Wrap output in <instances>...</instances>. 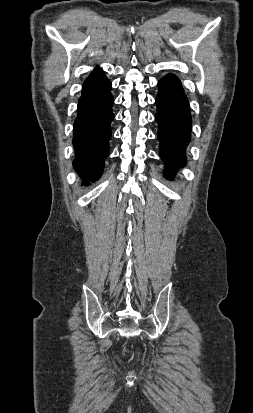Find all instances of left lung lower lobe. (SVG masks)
Listing matches in <instances>:
<instances>
[{
	"label": "left lung lower lobe",
	"mask_w": 253,
	"mask_h": 413,
	"mask_svg": "<svg viewBox=\"0 0 253 413\" xmlns=\"http://www.w3.org/2000/svg\"><path fill=\"white\" fill-rule=\"evenodd\" d=\"M156 97L157 133L160 157L165 163L164 175L171 177L177 167L186 164V147L190 142L192 119L188 99L180 80L172 74L158 82Z\"/></svg>",
	"instance_id": "1"
}]
</instances>
